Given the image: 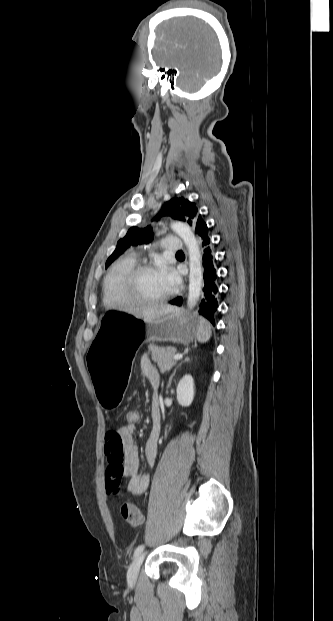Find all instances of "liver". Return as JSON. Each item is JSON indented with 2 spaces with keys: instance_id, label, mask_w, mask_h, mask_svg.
I'll return each instance as SVG.
<instances>
[{
  "instance_id": "obj_1",
  "label": "liver",
  "mask_w": 333,
  "mask_h": 621,
  "mask_svg": "<svg viewBox=\"0 0 333 621\" xmlns=\"http://www.w3.org/2000/svg\"><path fill=\"white\" fill-rule=\"evenodd\" d=\"M175 310H177V308L174 306L168 304H157L142 311L132 312V315L145 321H151L166 316Z\"/></svg>"
}]
</instances>
